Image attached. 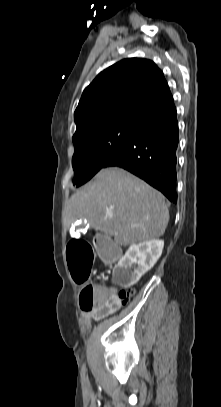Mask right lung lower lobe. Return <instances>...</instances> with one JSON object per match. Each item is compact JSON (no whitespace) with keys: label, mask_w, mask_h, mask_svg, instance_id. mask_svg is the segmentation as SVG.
<instances>
[{"label":"right lung lower lobe","mask_w":221,"mask_h":407,"mask_svg":"<svg viewBox=\"0 0 221 407\" xmlns=\"http://www.w3.org/2000/svg\"><path fill=\"white\" fill-rule=\"evenodd\" d=\"M178 141L177 112L172 98L141 120L128 140L102 168H124L160 190L175 203Z\"/></svg>","instance_id":"right-lung-lower-lobe-1"}]
</instances>
